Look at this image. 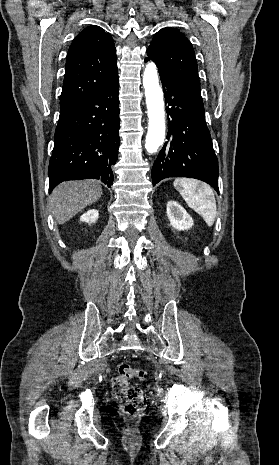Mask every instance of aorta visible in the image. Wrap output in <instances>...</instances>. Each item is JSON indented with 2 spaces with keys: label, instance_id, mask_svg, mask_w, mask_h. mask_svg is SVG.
Returning <instances> with one entry per match:
<instances>
[{
  "label": "aorta",
  "instance_id": "762f6f07",
  "mask_svg": "<svg viewBox=\"0 0 279 465\" xmlns=\"http://www.w3.org/2000/svg\"><path fill=\"white\" fill-rule=\"evenodd\" d=\"M143 86L149 118L145 149L152 154L163 144L165 138L163 92L159 86L157 68L154 63H148L145 67Z\"/></svg>",
  "mask_w": 279,
  "mask_h": 465
}]
</instances>
